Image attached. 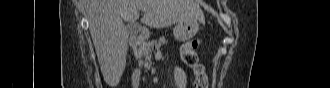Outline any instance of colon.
<instances>
[{"mask_svg": "<svg viewBox=\"0 0 330 88\" xmlns=\"http://www.w3.org/2000/svg\"><path fill=\"white\" fill-rule=\"evenodd\" d=\"M198 46L199 40L194 39L186 42L181 47V57L183 63L192 70L195 76V88H208V76L197 54Z\"/></svg>", "mask_w": 330, "mask_h": 88, "instance_id": "5ec220e1", "label": "colon"}]
</instances>
